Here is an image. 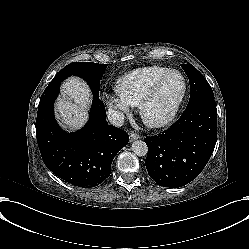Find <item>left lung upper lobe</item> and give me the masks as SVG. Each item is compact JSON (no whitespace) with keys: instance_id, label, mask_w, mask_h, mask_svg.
Masks as SVG:
<instances>
[{"instance_id":"1","label":"left lung upper lobe","mask_w":249,"mask_h":249,"mask_svg":"<svg viewBox=\"0 0 249 249\" xmlns=\"http://www.w3.org/2000/svg\"><path fill=\"white\" fill-rule=\"evenodd\" d=\"M190 82V99L188 105L204 99H214L211 86L202 74L191 64H181Z\"/></svg>"}]
</instances>
